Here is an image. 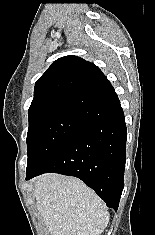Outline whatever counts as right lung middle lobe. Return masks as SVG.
<instances>
[{
	"label": "right lung middle lobe",
	"mask_w": 155,
	"mask_h": 235,
	"mask_svg": "<svg viewBox=\"0 0 155 235\" xmlns=\"http://www.w3.org/2000/svg\"><path fill=\"white\" fill-rule=\"evenodd\" d=\"M89 122L72 113L47 109L29 114L26 173L40 169Z\"/></svg>",
	"instance_id": "1"
}]
</instances>
